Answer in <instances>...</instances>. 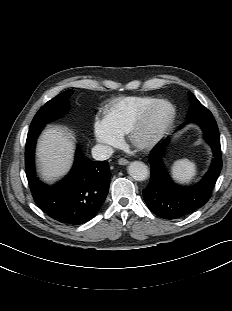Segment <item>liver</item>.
Returning <instances> with one entry per match:
<instances>
[{
	"instance_id": "1",
	"label": "liver",
	"mask_w": 232,
	"mask_h": 311,
	"mask_svg": "<svg viewBox=\"0 0 232 311\" xmlns=\"http://www.w3.org/2000/svg\"><path fill=\"white\" fill-rule=\"evenodd\" d=\"M74 147L71 135L60 127L43 132L37 145V161L46 181H54L68 172L73 161Z\"/></svg>"
}]
</instances>
